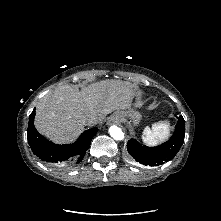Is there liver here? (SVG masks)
Returning a JSON list of instances; mask_svg holds the SVG:
<instances>
[{
  "label": "liver",
  "instance_id": "obj_1",
  "mask_svg": "<svg viewBox=\"0 0 221 221\" xmlns=\"http://www.w3.org/2000/svg\"><path fill=\"white\" fill-rule=\"evenodd\" d=\"M135 96V85L107 79L81 90L61 85L41 98L36 106L37 130L56 143L73 141L83 130L87 118L98 122L115 110H125Z\"/></svg>",
  "mask_w": 221,
  "mask_h": 221
}]
</instances>
